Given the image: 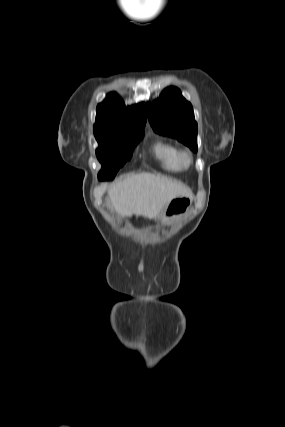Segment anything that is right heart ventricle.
Returning <instances> with one entry per match:
<instances>
[{"mask_svg":"<svg viewBox=\"0 0 285 427\" xmlns=\"http://www.w3.org/2000/svg\"><path fill=\"white\" fill-rule=\"evenodd\" d=\"M179 152L180 149L177 145L166 140H158L152 148V153L160 166L164 170L174 173L183 169L179 163Z\"/></svg>","mask_w":285,"mask_h":427,"instance_id":"right-heart-ventricle-1","label":"right heart ventricle"}]
</instances>
